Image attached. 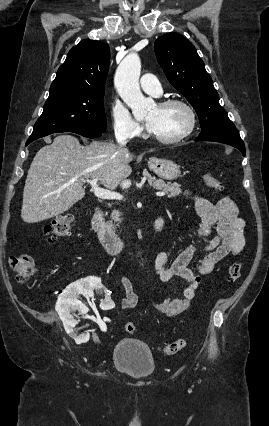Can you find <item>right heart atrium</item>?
<instances>
[{
  "instance_id": "obj_1",
  "label": "right heart atrium",
  "mask_w": 269,
  "mask_h": 426,
  "mask_svg": "<svg viewBox=\"0 0 269 426\" xmlns=\"http://www.w3.org/2000/svg\"><path fill=\"white\" fill-rule=\"evenodd\" d=\"M111 118L114 132L118 137L133 139L142 133V127L132 118L126 107L119 102L112 103Z\"/></svg>"
}]
</instances>
